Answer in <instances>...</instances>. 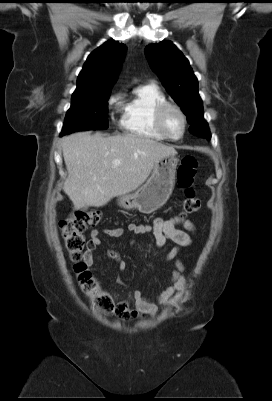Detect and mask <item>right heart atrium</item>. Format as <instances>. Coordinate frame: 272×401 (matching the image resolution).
Segmentation results:
<instances>
[{"label":"right heart atrium","instance_id":"d8ad5b80","mask_svg":"<svg viewBox=\"0 0 272 401\" xmlns=\"http://www.w3.org/2000/svg\"><path fill=\"white\" fill-rule=\"evenodd\" d=\"M121 97L122 95L120 92L112 93L107 100L108 107L114 108L120 102Z\"/></svg>","mask_w":272,"mask_h":401}]
</instances>
